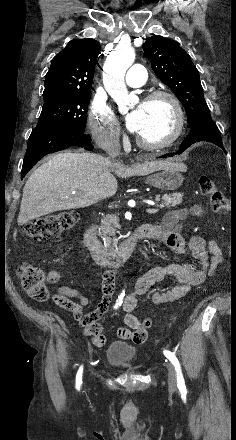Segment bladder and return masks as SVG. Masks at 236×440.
<instances>
[{"label": "bladder", "instance_id": "1", "mask_svg": "<svg viewBox=\"0 0 236 440\" xmlns=\"http://www.w3.org/2000/svg\"><path fill=\"white\" fill-rule=\"evenodd\" d=\"M137 350L131 345L115 341L111 343L106 352L107 363L117 367H127L136 358Z\"/></svg>", "mask_w": 236, "mask_h": 440}]
</instances>
